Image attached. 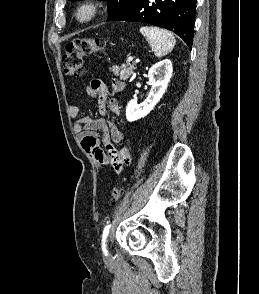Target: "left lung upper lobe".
I'll list each match as a JSON object with an SVG mask.
<instances>
[{
	"instance_id": "1",
	"label": "left lung upper lobe",
	"mask_w": 259,
	"mask_h": 294,
	"mask_svg": "<svg viewBox=\"0 0 259 294\" xmlns=\"http://www.w3.org/2000/svg\"><path fill=\"white\" fill-rule=\"evenodd\" d=\"M70 1L74 2L77 0H70ZM105 1H109L108 3L109 17L108 18H111L114 15L118 14L119 12L131 6L136 0H105Z\"/></svg>"
}]
</instances>
